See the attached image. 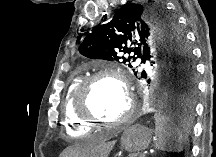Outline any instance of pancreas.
<instances>
[{
	"mask_svg": "<svg viewBox=\"0 0 216 157\" xmlns=\"http://www.w3.org/2000/svg\"><path fill=\"white\" fill-rule=\"evenodd\" d=\"M145 155L133 154L131 157H144Z\"/></svg>",
	"mask_w": 216,
	"mask_h": 157,
	"instance_id": "pancreas-1",
	"label": "pancreas"
}]
</instances>
